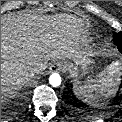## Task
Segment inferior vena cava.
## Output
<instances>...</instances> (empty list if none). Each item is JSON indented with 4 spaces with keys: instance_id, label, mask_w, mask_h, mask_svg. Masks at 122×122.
Masks as SVG:
<instances>
[{
    "instance_id": "1",
    "label": "inferior vena cava",
    "mask_w": 122,
    "mask_h": 122,
    "mask_svg": "<svg viewBox=\"0 0 122 122\" xmlns=\"http://www.w3.org/2000/svg\"><path fill=\"white\" fill-rule=\"evenodd\" d=\"M47 67L46 63H38L34 69V73L38 74L42 72Z\"/></svg>"
}]
</instances>
